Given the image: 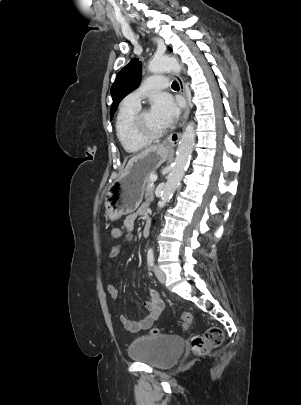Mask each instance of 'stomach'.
<instances>
[{"instance_id": "obj_1", "label": "stomach", "mask_w": 301, "mask_h": 405, "mask_svg": "<svg viewBox=\"0 0 301 405\" xmlns=\"http://www.w3.org/2000/svg\"><path fill=\"white\" fill-rule=\"evenodd\" d=\"M170 153V148L160 144L131 162L106 194L105 206L110 219H118L138 208L149 176L166 161Z\"/></svg>"}]
</instances>
